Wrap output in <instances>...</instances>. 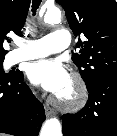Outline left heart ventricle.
I'll return each instance as SVG.
<instances>
[{
  "mask_svg": "<svg viewBox=\"0 0 117 136\" xmlns=\"http://www.w3.org/2000/svg\"><path fill=\"white\" fill-rule=\"evenodd\" d=\"M69 90H70V85L63 93H61V95H67L69 93Z\"/></svg>",
  "mask_w": 117,
  "mask_h": 136,
  "instance_id": "left-heart-ventricle-1",
  "label": "left heart ventricle"
}]
</instances>
